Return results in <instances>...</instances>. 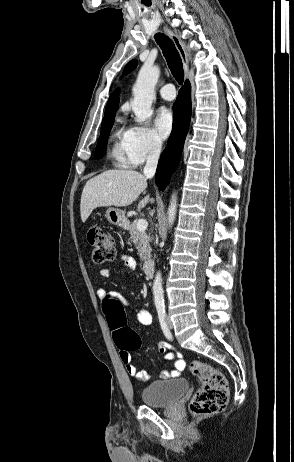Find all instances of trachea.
Wrapping results in <instances>:
<instances>
[{"label":"trachea","mask_w":294,"mask_h":462,"mask_svg":"<svg viewBox=\"0 0 294 462\" xmlns=\"http://www.w3.org/2000/svg\"><path fill=\"white\" fill-rule=\"evenodd\" d=\"M155 40L163 52L173 77L182 85L184 80L183 63L173 41L161 33L155 35Z\"/></svg>","instance_id":"obj_1"}]
</instances>
